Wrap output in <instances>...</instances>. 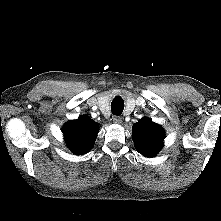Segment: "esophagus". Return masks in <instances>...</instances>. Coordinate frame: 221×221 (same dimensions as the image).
Wrapping results in <instances>:
<instances>
[{
	"label": "esophagus",
	"mask_w": 221,
	"mask_h": 221,
	"mask_svg": "<svg viewBox=\"0 0 221 221\" xmlns=\"http://www.w3.org/2000/svg\"><path fill=\"white\" fill-rule=\"evenodd\" d=\"M112 119H113V122L116 124L122 123V118L118 115H114Z\"/></svg>",
	"instance_id": "1"
}]
</instances>
